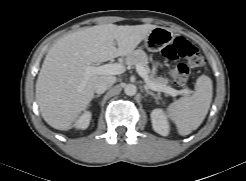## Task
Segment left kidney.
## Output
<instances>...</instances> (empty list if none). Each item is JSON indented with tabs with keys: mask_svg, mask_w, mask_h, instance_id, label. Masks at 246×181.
<instances>
[{
	"mask_svg": "<svg viewBox=\"0 0 246 181\" xmlns=\"http://www.w3.org/2000/svg\"><path fill=\"white\" fill-rule=\"evenodd\" d=\"M152 127L155 132L162 136H167L169 133V123L161 109H154L151 112Z\"/></svg>",
	"mask_w": 246,
	"mask_h": 181,
	"instance_id": "1",
	"label": "left kidney"
}]
</instances>
